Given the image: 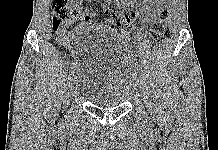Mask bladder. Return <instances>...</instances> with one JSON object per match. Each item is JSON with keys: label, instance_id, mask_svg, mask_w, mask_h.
<instances>
[{"label": "bladder", "instance_id": "bladder-1", "mask_svg": "<svg viewBox=\"0 0 218 150\" xmlns=\"http://www.w3.org/2000/svg\"><path fill=\"white\" fill-rule=\"evenodd\" d=\"M83 63L76 69L82 96L101 108L117 107L130 95L134 74L119 51V43L101 31L87 34L82 41Z\"/></svg>", "mask_w": 218, "mask_h": 150}]
</instances>
